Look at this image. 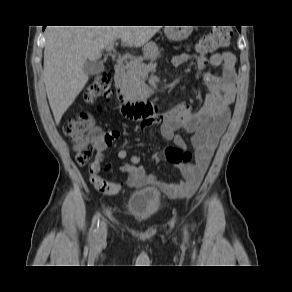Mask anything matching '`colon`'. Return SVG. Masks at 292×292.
<instances>
[{
    "instance_id": "colon-1",
    "label": "colon",
    "mask_w": 292,
    "mask_h": 292,
    "mask_svg": "<svg viewBox=\"0 0 292 292\" xmlns=\"http://www.w3.org/2000/svg\"><path fill=\"white\" fill-rule=\"evenodd\" d=\"M232 30L227 26H218L211 29L197 43L198 52L207 54L229 44ZM113 95L111 78L108 74L97 75L85 92V100L88 102L97 99L109 100ZM93 118L90 113L82 112L75 118L69 119L63 126V132L67 135L75 150V159L80 165H89L90 182L93 187L105 194H112L114 183L99 176V165L93 160L96 146L93 139ZM155 162L165 161L173 165L187 164L191 154L177 146H168L164 150L155 153L152 157Z\"/></svg>"
}]
</instances>
